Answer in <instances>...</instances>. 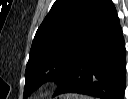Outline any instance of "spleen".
Segmentation results:
<instances>
[{
  "label": "spleen",
  "instance_id": "3e777b00",
  "mask_svg": "<svg viewBox=\"0 0 128 99\" xmlns=\"http://www.w3.org/2000/svg\"><path fill=\"white\" fill-rule=\"evenodd\" d=\"M79 98L80 99H89L88 97H85V96H80Z\"/></svg>",
  "mask_w": 128,
  "mask_h": 99
}]
</instances>
